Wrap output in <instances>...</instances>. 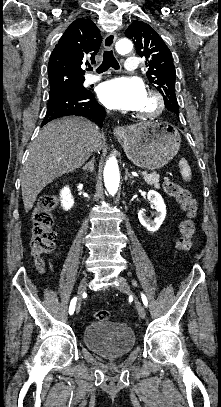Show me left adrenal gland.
Instances as JSON below:
<instances>
[{
	"label": "left adrenal gland",
	"instance_id": "a2214340",
	"mask_svg": "<svg viewBox=\"0 0 221 407\" xmlns=\"http://www.w3.org/2000/svg\"><path fill=\"white\" fill-rule=\"evenodd\" d=\"M125 181L128 179H134L133 176L128 172V169L125 170Z\"/></svg>",
	"mask_w": 221,
	"mask_h": 407
}]
</instances>
